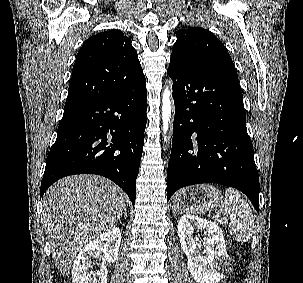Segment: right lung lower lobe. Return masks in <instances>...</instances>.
Returning a JSON list of instances; mask_svg holds the SVG:
<instances>
[{"instance_id": "right-lung-lower-lobe-1", "label": "right lung lower lobe", "mask_w": 303, "mask_h": 283, "mask_svg": "<svg viewBox=\"0 0 303 283\" xmlns=\"http://www.w3.org/2000/svg\"><path fill=\"white\" fill-rule=\"evenodd\" d=\"M146 110L145 77L116 93L65 108L47 157L40 197L62 177L97 174L120 186L134 205Z\"/></svg>"}]
</instances>
